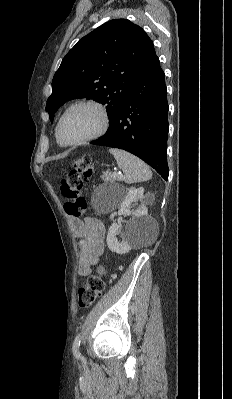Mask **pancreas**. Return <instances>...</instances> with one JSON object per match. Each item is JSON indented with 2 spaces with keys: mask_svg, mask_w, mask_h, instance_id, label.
Returning <instances> with one entry per match:
<instances>
[{
  "mask_svg": "<svg viewBox=\"0 0 232 399\" xmlns=\"http://www.w3.org/2000/svg\"><path fill=\"white\" fill-rule=\"evenodd\" d=\"M100 178H102V180H107V182H114L115 180L112 172H109V170H107L103 176H100Z\"/></svg>",
  "mask_w": 232,
  "mask_h": 399,
  "instance_id": "cf45deb5",
  "label": "pancreas"
}]
</instances>
